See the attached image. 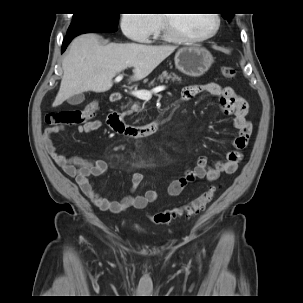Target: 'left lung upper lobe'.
<instances>
[{"label": "left lung upper lobe", "mask_w": 303, "mask_h": 303, "mask_svg": "<svg viewBox=\"0 0 303 303\" xmlns=\"http://www.w3.org/2000/svg\"><path fill=\"white\" fill-rule=\"evenodd\" d=\"M233 15H234V14H222V16H223L224 18H226L228 21H230V20L232 19Z\"/></svg>", "instance_id": "left-lung-upper-lobe-1"}]
</instances>
